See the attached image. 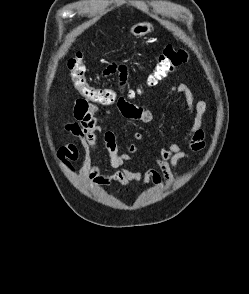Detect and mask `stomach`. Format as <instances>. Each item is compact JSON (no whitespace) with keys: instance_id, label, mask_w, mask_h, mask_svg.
I'll return each mask as SVG.
<instances>
[{"instance_id":"stomach-1","label":"stomach","mask_w":249,"mask_h":294,"mask_svg":"<svg viewBox=\"0 0 249 294\" xmlns=\"http://www.w3.org/2000/svg\"><path fill=\"white\" fill-rule=\"evenodd\" d=\"M152 29H153V25L151 23L140 22V23L134 24L129 31L133 36L142 37L150 33Z\"/></svg>"}]
</instances>
